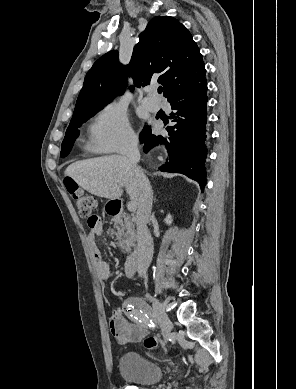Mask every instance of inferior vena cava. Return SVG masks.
Masks as SVG:
<instances>
[{
  "instance_id": "inferior-vena-cava-1",
  "label": "inferior vena cava",
  "mask_w": 296,
  "mask_h": 389,
  "mask_svg": "<svg viewBox=\"0 0 296 389\" xmlns=\"http://www.w3.org/2000/svg\"><path fill=\"white\" fill-rule=\"evenodd\" d=\"M126 155L139 184L140 196L136 214V225L138 242L142 246L144 253L138 260V273L139 276H144L151 263L153 254V241L147 227L152 210L153 193L148 178L137 165L140 160L137 136L129 138Z\"/></svg>"
}]
</instances>
